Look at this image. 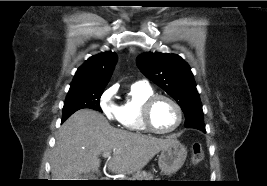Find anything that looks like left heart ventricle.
Instances as JSON below:
<instances>
[{
  "label": "left heart ventricle",
  "instance_id": "left-heart-ventricle-1",
  "mask_svg": "<svg viewBox=\"0 0 267 186\" xmlns=\"http://www.w3.org/2000/svg\"><path fill=\"white\" fill-rule=\"evenodd\" d=\"M151 118L157 129L167 130L175 125L177 112L170 102L159 100L153 106Z\"/></svg>",
  "mask_w": 267,
  "mask_h": 186
}]
</instances>
